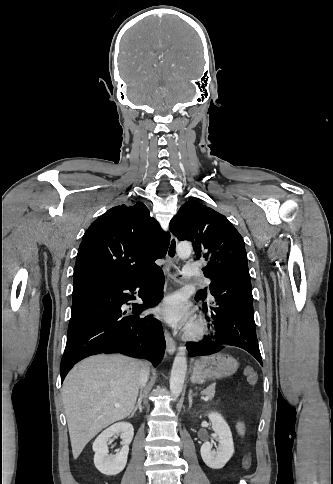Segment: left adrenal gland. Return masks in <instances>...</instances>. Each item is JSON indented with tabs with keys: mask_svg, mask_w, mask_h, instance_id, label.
I'll return each mask as SVG.
<instances>
[{
	"mask_svg": "<svg viewBox=\"0 0 333 484\" xmlns=\"http://www.w3.org/2000/svg\"><path fill=\"white\" fill-rule=\"evenodd\" d=\"M193 396H196V394L192 393V389L189 390V394H188V400H189V408L192 407V401H193Z\"/></svg>",
	"mask_w": 333,
	"mask_h": 484,
	"instance_id": "1",
	"label": "left adrenal gland"
}]
</instances>
